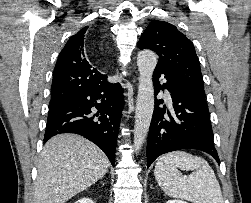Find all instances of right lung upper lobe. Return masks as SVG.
<instances>
[{
  "label": "right lung upper lobe",
  "instance_id": "cb5924a9",
  "mask_svg": "<svg viewBox=\"0 0 251 203\" xmlns=\"http://www.w3.org/2000/svg\"><path fill=\"white\" fill-rule=\"evenodd\" d=\"M88 27L73 35L59 54L54 68L50 106L71 98L90 85L107 81V75L90 65L84 53Z\"/></svg>",
  "mask_w": 251,
  "mask_h": 203
}]
</instances>
